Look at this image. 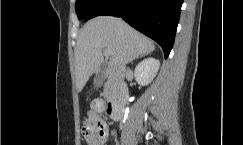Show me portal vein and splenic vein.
<instances>
[{"label":"portal vein and splenic vein","mask_w":243,"mask_h":145,"mask_svg":"<svg viewBox=\"0 0 243 145\" xmlns=\"http://www.w3.org/2000/svg\"><path fill=\"white\" fill-rule=\"evenodd\" d=\"M105 54H106V55H110L111 53H110V51L105 50Z\"/></svg>","instance_id":"18ae733b"}]
</instances>
